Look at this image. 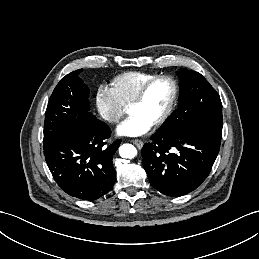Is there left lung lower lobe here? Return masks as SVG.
<instances>
[{
    "label": "left lung lower lobe",
    "mask_w": 259,
    "mask_h": 259,
    "mask_svg": "<svg viewBox=\"0 0 259 259\" xmlns=\"http://www.w3.org/2000/svg\"><path fill=\"white\" fill-rule=\"evenodd\" d=\"M221 138L222 127L208 122L176 136L157 131L142 148L152 187L174 197L195 190L209 175Z\"/></svg>",
    "instance_id": "left-lung-lower-lobe-1"
}]
</instances>
